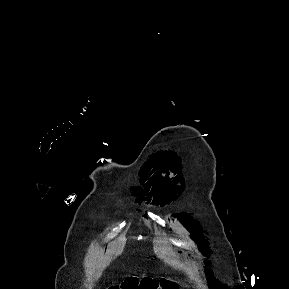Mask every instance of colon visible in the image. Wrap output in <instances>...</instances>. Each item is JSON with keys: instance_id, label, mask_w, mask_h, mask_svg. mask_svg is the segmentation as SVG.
<instances>
[{"instance_id": "5ec220e1", "label": "colon", "mask_w": 289, "mask_h": 289, "mask_svg": "<svg viewBox=\"0 0 289 289\" xmlns=\"http://www.w3.org/2000/svg\"><path fill=\"white\" fill-rule=\"evenodd\" d=\"M109 289H177V286L170 279L156 281L149 278H128L121 284L113 285Z\"/></svg>"}]
</instances>
